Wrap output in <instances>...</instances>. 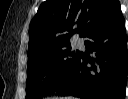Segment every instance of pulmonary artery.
<instances>
[{"mask_svg": "<svg viewBox=\"0 0 128 99\" xmlns=\"http://www.w3.org/2000/svg\"><path fill=\"white\" fill-rule=\"evenodd\" d=\"M83 42L81 40L77 41V46H82Z\"/></svg>", "mask_w": 128, "mask_h": 99, "instance_id": "1", "label": "pulmonary artery"}]
</instances>
